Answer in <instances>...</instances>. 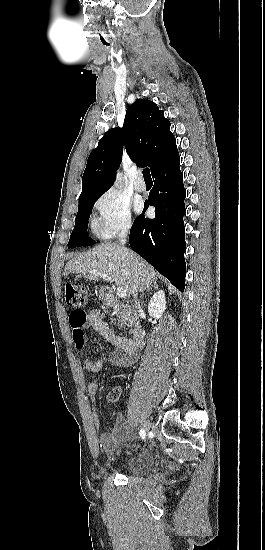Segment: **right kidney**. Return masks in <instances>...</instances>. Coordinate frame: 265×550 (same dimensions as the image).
<instances>
[{
    "label": "right kidney",
    "mask_w": 265,
    "mask_h": 550,
    "mask_svg": "<svg viewBox=\"0 0 265 550\" xmlns=\"http://www.w3.org/2000/svg\"><path fill=\"white\" fill-rule=\"evenodd\" d=\"M166 309V299L163 290L156 292L148 304V312L154 318H161Z\"/></svg>",
    "instance_id": "obj_1"
}]
</instances>
